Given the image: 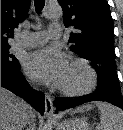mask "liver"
Segmentation results:
<instances>
[{
	"label": "liver",
	"instance_id": "liver-1",
	"mask_svg": "<svg viewBox=\"0 0 123 130\" xmlns=\"http://www.w3.org/2000/svg\"><path fill=\"white\" fill-rule=\"evenodd\" d=\"M91 109L83 106L79 112ZM36 114L22 99L1 87V130H22L28 123L29 130L35 129Z\"/></svg>",
	"mask_w": 123,
	"mask_h": 130
}]
</instances>
